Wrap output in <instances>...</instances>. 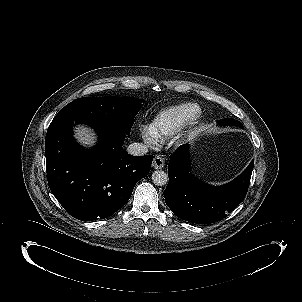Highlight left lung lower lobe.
Instances as JSON below:
<instances>
[{"instance_id":"1","label":"left lung lower lobe","mask_w":302,"mask_h":302,"mask_svg":"<svg viewBox=\"0 0 302 302\" xmlns=\"http://www.w3.org/2000/svg\"><path fill=\"white\" fill-rule=\"evenodd\" d=\"M253 165L254 160L230 183L211 186L191 174L188 144L181 145L169 161L165 202L183 220L198 224L218 222L244 199Z\"/></svg>"}]
</instances>
